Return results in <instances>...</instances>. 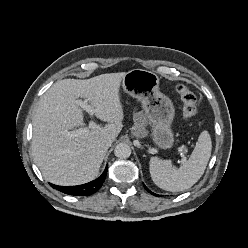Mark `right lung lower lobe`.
Instances as JSON below:
<instances>
[{"label": "right lung lower lobe", "instance_id": "right-lung-lower-lobe-1", "mask_svg": "<svg viewBox=\"0 0 248 248\" xmlns=\"http://www.w3.org/2000/svg\"><path fill=\"white\" fill-rule=\"evenodd\" d=\"M106 174H107V167L105 168L104 172L99 178L83 185H77V186H57L53 184L50 185L53 188L65 194L75 195V196H88L95 193L97 190L101 188L106 178Z\"/></svg>", "mask_w": 248, "mask_h": 248}]
</instances>
